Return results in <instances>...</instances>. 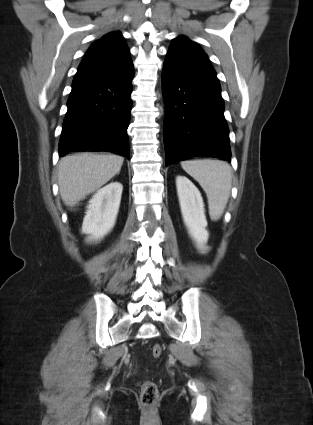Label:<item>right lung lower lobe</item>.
I'll return each mask as SVG.
<instances>
[{
  "label": "right lung lower lobe",
  "instance_id": "obj_1",
  "mask_svg": "<svg viewBox=\"0 0 313 425\" xmlns=\"http://www.w3.org/2000/svg\"><path fill=\"white\" fill-rule=\"evenodd\" d=\"M132 61L81 62L67 102L59 156L106 151L129 157L127 128L132 100Z\"/></svg>",
  "mask_w": 313,
  "mask_h": 425
}]
</instances>
